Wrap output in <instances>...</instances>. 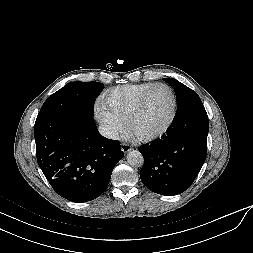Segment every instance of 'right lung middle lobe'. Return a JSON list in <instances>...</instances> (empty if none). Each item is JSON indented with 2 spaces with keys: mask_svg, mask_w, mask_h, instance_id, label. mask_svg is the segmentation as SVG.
I'll list each match as a JSON object with an SVG mask.
<instances>
[{
  "mask_svg": "<svg viewBox=\"0 0 253 253\" xmlns=\"http://www.w3.org/2000/svg\"><path fill=\"white\" fill-rule=\"evenodd\" d=\"M104 88L100 82H71L52 94L40 112L56 110L93 116L95 98Z\"/></svg>",
  "mask_w": 253,
  "mask_h": 253,
  "instance_id": "obj_1",
  "label": "right lung middle lobe"
}]
</instances>
